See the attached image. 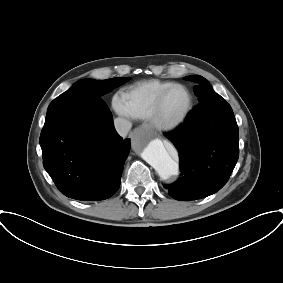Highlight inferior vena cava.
<instances>
[{"instance_id":"602c4592","label":"inferior vena cava","mask_w":283,"mask_h":283,"mask_svg":"<svg viewBox=\"0 0 283 283\" xmlns=\"http://www.w3.org/2000/svg\"><path fill=\"white\" fill-rule=\"evenodd\" d=\"M114 127L121 137H126L132 127V124L127 119L119 117L114 119Z\"/></svg>"}]
</instances>
